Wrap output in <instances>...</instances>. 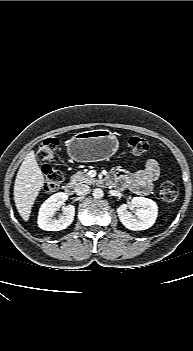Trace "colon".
<instances>
[{"label":"colon","instance_id":"5ec220e1","mask_svg":"<svg viewBox=\"0 0 193 351\" xmlns=\"http://www.w3.org/2000/svg\"><path fill=\"white\" fill-rule=\"evenodd\" d=\"M128 146L131 153L135 156H140L148 151V143L145 139L132 136L128 140ZM59 150V141L56 138L45 139L37 152V157L44 163H49L55 160ZM64 176L61 171L48 167L44 170L43 190L46 193H51L59 189L63 183ZM159 196L165 202H173L178 195L176 185L169 180L161 182L159 186Z\"/></svg>","mask_w":193,"mask_h":351}]
</instances>
